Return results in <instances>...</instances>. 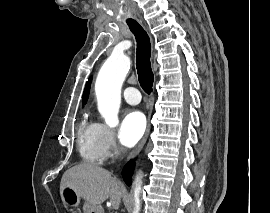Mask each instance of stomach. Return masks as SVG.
<instances>
[{
  "label": "stomach",
  "instance_id": "1",
  "mask_svg": "<svg viewBox=\"0 0 270 213\" xmlns=\"http://www.w3.org/2000/svg\"><path fill=\"white\" fill-rule=\"evenodd\" d=\"M62 200L69 206L77 207L81 198L78 196L75 189L67 185L61 191ZM83 213H103V209L100 206H92L87 202L83 205Z\"/></svg>",
  "mask_w": 270,
  "mask_h": 213
}]
</instances>
